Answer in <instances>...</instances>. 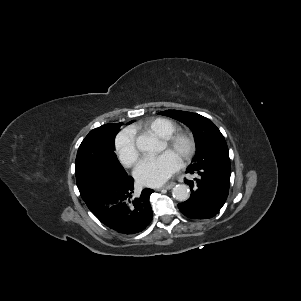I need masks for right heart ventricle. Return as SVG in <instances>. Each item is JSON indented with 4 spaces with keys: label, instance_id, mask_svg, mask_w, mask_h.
<instances>
[{
    "label": "right heart ventricle",
    "instance_id": "e07e8e85",
    "mask_svg": "<svg viewBox=\"0 0 301 301\" xmlns=\"http://www.w3.org/2000/svg\"><path fill=\"white\" fill-rule=\"evenodd\" d=\"M138 128L139 126L133 127V132ZM142 128L157 137L166 138L171 136L177 130L178 126L170 119L155 118L144 123Z\"/></svg>",
    "mask_w": 301,
    "mask_h": 301
}]
</instances>
